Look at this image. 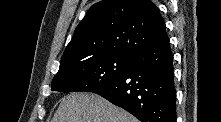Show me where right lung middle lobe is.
<instances>
[{
  "label": "right lung middle lobe",
  "instance_id": "1",
  "mask_svg": "<svg viewBox=\"0 0 221 122\" xmlns=\"http://www.w3.org/2000/svg\"><path fill=\"white\" fill-rule=\"evenodd\" d=\"M131 61L132 57L108 55L80 62L57 73L52 82V90L92 92L120 77Z\"/></svg>",
  "mask_w": 221,
  "mask_h": 122
}]
</instances>
